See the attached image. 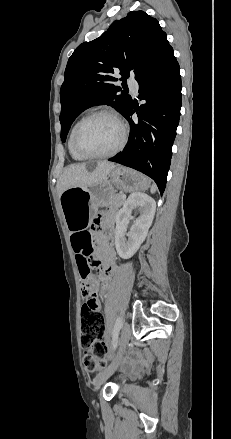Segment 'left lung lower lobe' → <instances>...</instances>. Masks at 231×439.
Masks as SVG:
<instances>
[{
    "mask_svg": "<svg viewBox=\"0 0 231 439\" xmlns=\"http://www.w3.org/2000/svg\"><path fill=\"white\" fill-rule=\"evenodd\" d=\"M140 109L131 102L123 116L131 132L124 150L109 161L136 169L151 177L160 193L165 190L181 109L180 67L173 49L167 48L138 80ZM136 112L138 121L131 115Z\"/></svg>",
    "mask_w": 231,
    "mask_h": 439,
    "instance_id": "left-lung-lower-lobe-1",
    "label": "left lung lower lobe"
}]
</instances>
